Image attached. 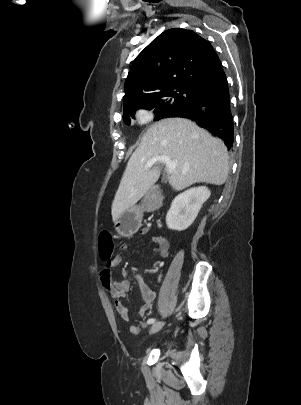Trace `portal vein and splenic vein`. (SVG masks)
Listing matches in <instances>:
<instances>
[{"instance_id": "18ae733b", "label": "portal vein and splenic vein", "mask_w": 301, "mask_h": 405, "mask_svg": "<svg viewBox=\"0 0 301 405\" xmlns=\"http://www.w3.org/2000/svg\"><path fill=\"white\" fill-rule=\"evenodd\" d=\"M156 162H161L164 163L166 165V171L167 173H171L177 165V161L176 160H172L171 158L164 156V155H160V156H155L153 158H151L147 164L146 167L150 168L152 167Z\"/></svg>"}]
</instances>
